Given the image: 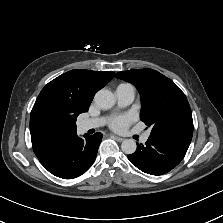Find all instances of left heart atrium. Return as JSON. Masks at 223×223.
Here are the masks:
<instances>
[{"mask_svg":"<svg viewBox=\"0 0 223 223\" xmlns=\"http://www.w3.org/2000/svg\"><path fill=\"white\" fill-rule=\"evenodd\" d=\"M134 120L133 114L116 116L111 119L110 126L116 131L124 130Z\"/></svg>","mask_w":223,"mask_h":223,"instance_id":"obj_1","label":"left heart atrium"}]
</instances>
